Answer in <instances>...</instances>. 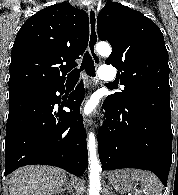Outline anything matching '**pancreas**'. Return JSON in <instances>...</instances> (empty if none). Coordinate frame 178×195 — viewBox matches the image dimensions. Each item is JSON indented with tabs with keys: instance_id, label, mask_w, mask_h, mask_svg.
<instances>
[{
	"instance_id": "pancreas-1",
	"label": "pancreas",
	"mask_w": 178,
	"mask_h": 195,
	"mask_svg": "<svg viewBox=\"0 0 178 195\" xmlns=\"http://www.w3.org/2000/svg\"><path fill=\"white\" fill-rule=\"evenodd\" d=\"M136 195H141L140 193H136Z\"/></svg>"
}]
</instances>
